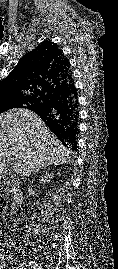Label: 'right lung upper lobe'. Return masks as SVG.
Listing matches in <instances>:
<instances>
[{"label":"right lung upper lobe","instance_id":"cb5924a9","mask_svg":"<svg viewBox=\"0 0 118 269\" xmlns=\"http://www.w3.org/2000/svg\"><path fill=\"white\" fill-rule=\"evenodd\" d=\"M73 83L70 64L57 44L44 41L26 53L10 74L0 83V101L32 98L36 110L55 94ZM53 131L47 116L38 113Z\"/></svg>","mask_w":118,"mask_h":269}]
</instances>
